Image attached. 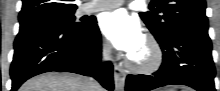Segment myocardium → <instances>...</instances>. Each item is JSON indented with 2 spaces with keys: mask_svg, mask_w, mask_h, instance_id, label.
I'll use <instances>...</instances> for the list:
<instances>
[{
  "mask_svg": "<svg viewBox=\"0 0 220 91\" xmlns=\"http://www.w3.org/2000/svg\"><path fill=\"white\" fill-rule=\"evenodd\" d=\"M149 55L144 62H136L129 57L127 60L128 67L135 73L150 74L159 69L163 62V50L159 41L153 35H147L144 39Z\"/></svg>",
  "mask_w": 220,
  "mask_h": 91,
  "instance_id": "1",
  "label": "myocardium"
}]
</instances>
